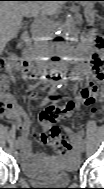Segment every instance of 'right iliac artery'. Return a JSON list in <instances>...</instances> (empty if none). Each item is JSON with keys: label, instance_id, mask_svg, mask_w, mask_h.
I'll list each match as a JSON object with an SVG mask.
<instances>
[{"label": "right iliac artery", "instance_id": "right-iliac-artery-1", "mask_svg": "<svg viewBox=\"0 0 104 189\" xmlns=\"http://www.w3.org/2000/svg\"><path fill=\"white\" fill-rule=\"evenodd\" d=\"M54 92V90H51V93H53ZM17 141H19V142H21L22 141V138L21 137H18V140Z\"/></svg>", "mask_w": 104, "mask_h": 189}]
</instances>
